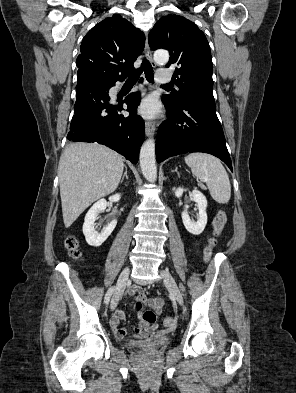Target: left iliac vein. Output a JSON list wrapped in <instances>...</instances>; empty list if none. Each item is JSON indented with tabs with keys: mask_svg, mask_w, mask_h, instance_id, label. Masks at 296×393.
<instances>
[{
	"mask_svg": "<svg viewBox=\"0 0 296 393\" xmlns=\"http://www.w3.org/2000/svg\"><path fill=\"white\" fill-rule=\"evenodd\" d=\"M161 274L169 293L177 300L180 305H183V295L173 276L167 270H161Z\"/></svg>",
	"mask_w": 296,
	"mask_h": 393,
	"instance_id": "1",
	"label": "left iliac vein"
}]
</instances>
